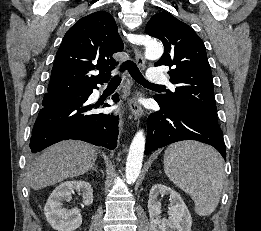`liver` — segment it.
<instances>
[{"label":"liver","instance_id":"1","mask_svg":"<svg viewBox=\"0 0 261 231\" xmlns=\"http://www.w3.org/2000/svg\"><path fill=\"white\" fill-rule=\"evenodd\" d=\"M97 150L81 141H62L46 149L32 164L27 179L33 190L57 184L88 172Z\"/></svg>","mask_w":261,"mask_h":231}]
</instances>
